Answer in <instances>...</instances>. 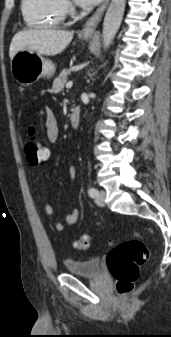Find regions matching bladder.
Instances as JSON below:
<instances>
[{
  "instance_id": "obj_1",
  "label": "bladder",
  "mask_w": 171,
  "mask_h": 337,
  "mask_svg": "<svg viewBox=\"0 0 171 337\" xmlns=\"http://www.w3.org/2000/svg\"><path fill=\"white\" fill-rule=\"evenodd\" d=\"M64 267L70 274L88 278H96L100 276L102 271L101 261L98 258L86 260L66 259Z\"/></svg>"
}]
</instances>
